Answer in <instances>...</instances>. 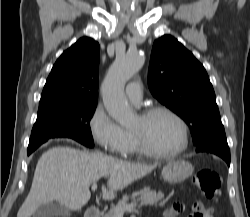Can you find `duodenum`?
<instances>
[{
	"mask_svg": "<svg viewBox=\"0 0 250 217\" xmlns=\"http://www.w3.org/2000/svg\"><path fill=\"white\" fill-rule=\"evenodd\" d=\"M100 210L96 206H89L85 212V217H99Z\"/></svg>",
	"mask_w": 250,
	"mask_h": 217,
	"instance_id": "1",
	"label": "duodenum"
}]
</instances>
